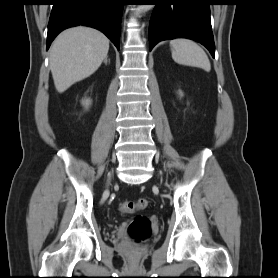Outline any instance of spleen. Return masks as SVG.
<instances>
[{
	"label": "spleen",
	"instance_id": "3e777b00",
	"mask_svg": "<svg viewBox=\"0 0 278 278\" xmlns=\"http://www.w3.org/2000/svg\"><path fill=\"white\" fill-rule=\"evenodd\" d=\"M170 47L175 62L210 71L211 65L208 56L194 41L185 38L174 39L170 41Z\"/></svg>",
	"mask_w": 278,
	"mask_h": 278
}]
</instances>
